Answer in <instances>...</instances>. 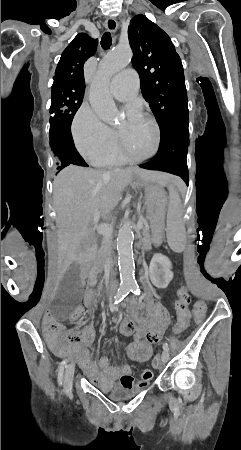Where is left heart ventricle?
Instances as JSON below:
<instances>
[{
    "label": "left heart ventricle",
    "mask_w": 241,
    "mask_h": 450,
    "mask_svg": "<svg viewBox=\"0 0 241 450\" xmlns=\"http://www.w3.org/2000/svg\"><path fill=\"white\" fill-rule=\"evenodd\" d=\"M154 119L148 113L138 114L132 121H126L122 129L125 148L132 160H148L152 151V140L156 127Z\"/></svg>",
    "instance_id": "obj_1"
}]
</instances>
